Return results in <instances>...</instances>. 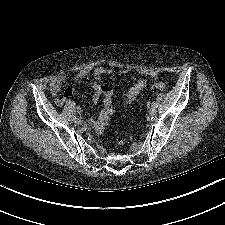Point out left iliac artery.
Returning a JSON list of instances; mask_svg holds the SVG:
<instances>
[{"mask_svg":"<svg viewBox=\"0 0 225 225\" xmlns=\"http://www.w3.org/2000/svg\"><path fill=\"white\" fill-rule=\"evenodd\" d=\"M152 106H156L155 102H152Z\"/></svg>","mask_w":225,"mask_h":225,"instance_id":"left-iliac-artery-1","label":"left iliac artery"}]
</instances>
